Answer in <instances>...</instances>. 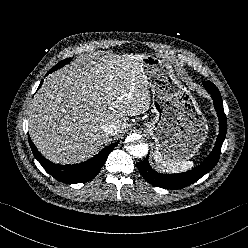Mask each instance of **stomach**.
<instances>
[{
  "label": "stomach",
  "mask_w": 248,
  "mask_h": 248,
  "mask_svg": "<svg viewBox=\"0 0 248 248\" xmlns=\"http://www.w3.org/2000/svg\"><path fill=\"white\" fill-rule=\"evenodd\" d=\"M142 70L152 92L155 117L145 124V130L155 141V154L171 162L189 160L207 137L204 115L168 64L145 55Z\"/></svg>",
  "instance_id": "1"
}]
</instances>
